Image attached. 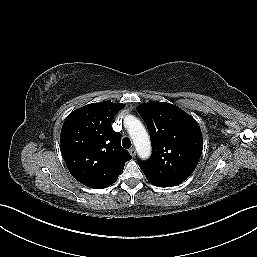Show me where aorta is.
I'll return each instance as SVG.
<instances>
[{
  "label": "aorta",
  "instance_id": "aorta-1",
  "mask_svg": "<svg viewBox=\"0 0 257 257\" xmlns=\"http://www.w3.org/2000/svg\"><path fill=\"white\" fill-rule=\"evenodd\" d=\"M131 120L129 134L133 140L138 155L145 159L151 154V143L149 135L142 123L133 116L128 117Z\"/></svg>",
  "mask_w": 257,
  "mask_h": 257
}]
</instances>
